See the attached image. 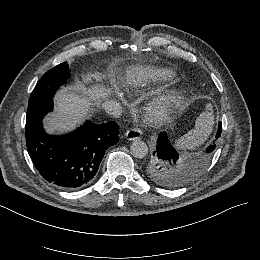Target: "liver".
I'll use <instances>...</instances> for the list:
<instances>
[{
  "label": "liver",
  "instance_id": "liver-1",
  "mask_svg": "<svg viewBox=\"0 0 260 260\" xmlns=\"http://www.w3.org/2000/svg\"><path fill=\"white\" fill-rule=\"evenodd\" d=\"M75 92L71 88H63L56 97L57 113L48 118L46 126L48 130L54 131L63 126H71L82 120L83 115L89 110V101L83 98L86 90L79 87ZM66 121L63 124V121Z\"/></svg>",
  "mask_w": 260,
  "mask_h": 260
}]
</instances>
